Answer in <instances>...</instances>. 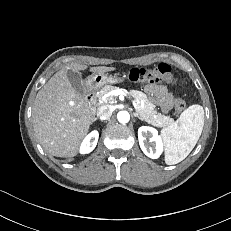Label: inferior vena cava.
I'll use <instances>...</instances> for the list:
<instances>
[{
  "label": "inferior vena cava",
  "instance_id": "602c4592",
  "mask_svg": "<svg viewBox=\"0 0 231 231\" xmlns=\"http://www.w3.org/2000/svg\"><path fill=\"white\" fill-rule=\"evenodd\" d=\"M96 114L100 120H106L112 115V110L108 105H102L98 107Z\"/></svg>",
  "mask_w": 231,
  "mask_h": 231
}]
</instances>
